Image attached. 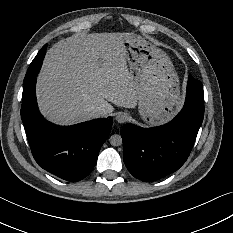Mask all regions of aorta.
I'll use <instances>...</instances> for the list:
<instances>
[{"label": "aorta", "mask_w": 233, "mask_h": 233, "mask_svg": "<svg viewBox=\"0 0 233 233\" xmlns=\"http://www.w3.org/2000/svg\"><path fill=\"white\" fill-rule=\"evenodd\" d=\"M112 146H120L122 144V137L118 134H114L109 138Z\"/></svg>", "instance_id": "762f6f07"}]
</instances>
